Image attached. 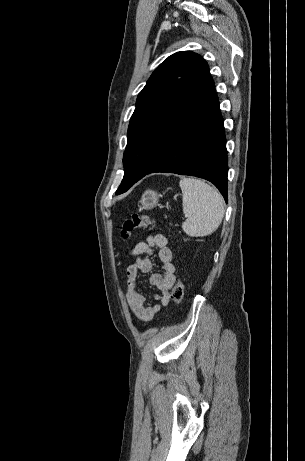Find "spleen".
Instances as JSON below:
<instances>
[{"instance_id":"1","label":"spleen","mask_w":305,"mask_h":461,"mask_svg":"<svg viewBox=\"0 0 305 461\" xmlns=\"http://www.w3.org/2000/svg\"><path fill=\"white\" fill-rule=\"evenodd\" d=\"M183 212L187 220L182 223L183 231L192 237L212 234L224 217V200L212 186L196 178H182Z\"/></svg>"}]
</instances>
